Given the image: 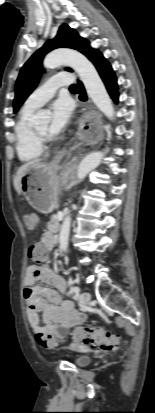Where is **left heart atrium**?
Returning <instances> with one entry per match:
<instances>
[{
  "label": "left heart atrium",
  "instance_id": "obj_1",
  "mask_svg": "<svg viewBox=\"0 0 155 413\" xmlns=\"http://www.w3.org/2000/svg\"><path fill=\"white\" fill-rule=\"evenodd\" d=\"M72 114V105L65 98H59L51 105V120L47 130L49 136L59 134L68 124Z\"/></svg>",
  "mask_w": 155,
  "mask_h": 413
}]
</instances>
